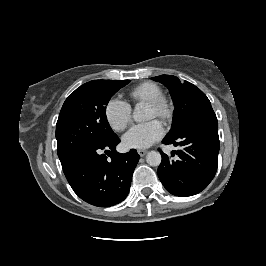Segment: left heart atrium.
I'll return each mask as SVG.
<instances>
[{
    "mask_svg": "<svg viewBox=\"0 0 266 266\" xmlns=\"http://www.w3.org/2000/svg\"><path fill=\"white\" fill-rule=\"evenodd\" d=\"M164 135L161 123L152 119L132 126L123 136V144L127 148L143 149L150 147Z\"/></svg>",
    "mask_w": 266,
    "mask_h": 266,
    "instance_id": "39dd6f15",
    "label": "left heart atrium"
}]
</instances>
